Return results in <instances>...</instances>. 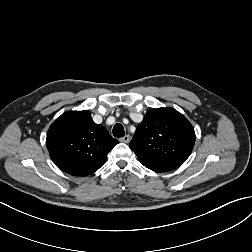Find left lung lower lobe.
<instances>
[{"mask_svg": "<svg viewBox=\"0 0 252 252\" xmlns=\"http://www.w3.org/2000/svg\"><path fill=\"white\" fill-rule=\"evenodd\" d=\"M182 163L176 161H161L146 165L147 168L156 172H165L179 167Z\"/></svg>", "mask_w": 252, "mask_h": 252, "instance_id": "obj_1", "label": "left lung lower lobe"}]
</instances>
